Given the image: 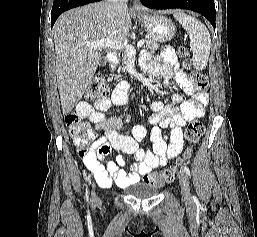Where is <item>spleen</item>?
<instances>
[{"label": "spleen", "instance_id": "spleen-1", "mask_svg": "<svg viewBox=\"0 0 257 237\" xmlns=\"http://www.w3.org/2000/svg\"><path fill=\"white\" fill-rule=\"evenodd\" d=\"M174 17L190 37L193 66L197 70L205 69L208 63L211 45L208 29L200 21L185 13L175 12Z\"/></svg>", "mask_w": 257, "mask_h": 237}]
</instances>
